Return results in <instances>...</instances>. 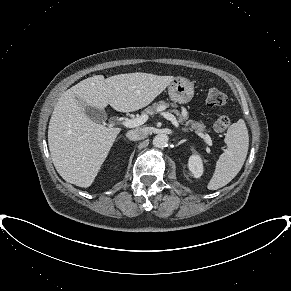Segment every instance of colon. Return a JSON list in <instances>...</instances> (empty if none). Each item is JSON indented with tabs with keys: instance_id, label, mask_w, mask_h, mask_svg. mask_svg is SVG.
<instances>
[{
	"instance_id": "colon-1",
	"label": "colon",
	"mask_w": 291,
	"mask_h": 291,
	"mask_svg": "<svg viewBox=\"0 0 291 291\" xmlns=\"http://www.w3.org/2000/svg\"><path fill=\"white\" fill-rule=\"evenodd\" d=\"M206 101L210 106H221L227 101L226 95L217 88H210L206 95ZM230 119L226 115L217 117L214 123V128L218 132H222L228 128Z\"/></svg>"
}]
</instances>
